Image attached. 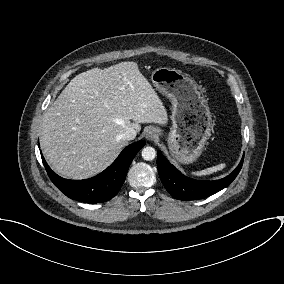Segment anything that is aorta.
<instances>
[{
	"label": "aorta",
	"mask_w": 284,
	"mask_h": 284,
	"mask_svg": "<svg viewBox=\"0 0 284 284\" xmlns=\"http://www.w3.org/2000/svg\"><path fill=\"white\" fill-rule=\"evenodd\" d=\"M156 157V151L153 147L147 146L142 149V158L146 161H152Z\"/></svg>",
	"instance_id": "aorta-1"
}]
</instances>
